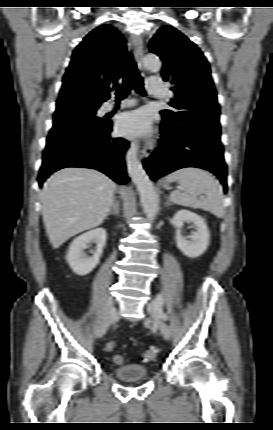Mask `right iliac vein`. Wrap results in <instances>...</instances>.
<instances>
[{
    "mask_svg": "<svg viewBox=\"0 0 273 430\" xmlns=\"http://www.w3.org/2000/svg\"><path fill=\"white\" fill-rule=\"evenodd\" d=\"M110 301H111V304L104 312L101 323L96 330L97 338H100L103 336V334L106 332L108 327L113 323L114 319L116 318V308L112 303L111 297H110Z\"/></svg>",
    "mask_w": 273,
    "mask_h": 430,
    "instance_id": "1",
    "label": "right iliac vein"
}]
</instances>
